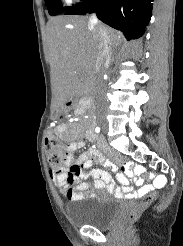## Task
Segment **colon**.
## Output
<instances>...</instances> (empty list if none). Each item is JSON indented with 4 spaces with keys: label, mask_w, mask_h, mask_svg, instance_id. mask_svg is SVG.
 <instances>
[{
    "label": "colon",
    "mask_w": 183,
    "mask_h": 246,
    "mask_svg": "<svg viewBox=\"0 0 183 246\" xmlns=\"http://www.w3.org/2000/svg\"><path fill=\"white\" fill-rule=\"evenodd\" d=\"M45 145L47 160L50 166L56 170L63 168L65 166L67 157L63 152V145L61 140L53 132H49L45 138ZM119 160H123V162H128L129 165L133 164V161L130 159V157H126V155H119ZM73 172L75 171H70V173ZM154 198L155 193H151L146 196L136 208L124 215V222L128 223L133 221L138 216L140 211L144 209L147 205H149Z\"/></svg>",
    "instance_id": "1"
}]
</instances>
